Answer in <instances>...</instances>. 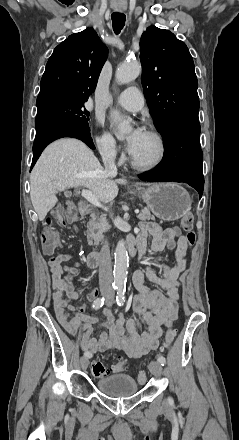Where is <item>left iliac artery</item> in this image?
Listing matches in <instances>:
<instances>
[{"label":"left iliac artery","mask_w":239,"mask_h":440,"mask_svg":"<svg viewBox=\"0 0 239 440\" xmlns=\"http://www.w3.org/2000/svg\"><path fill=\"white\" fill-rule=\"evenodd\" d=\"M125 287H120L117 292L116 302L119 306H122L125 301ZM157 362H159L162 366L166 363V359L163 356L157 358Z\"/></svg>","instance_id":"44dca946"}]
</instances>
